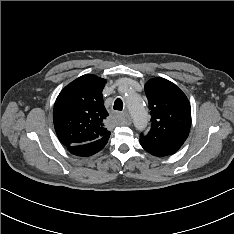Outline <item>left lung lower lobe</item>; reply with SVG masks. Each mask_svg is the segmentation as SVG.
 I'll use <instances>...</instances> for the list:
<instances>
[{
	"label": "left lung lower lobe",
	"mask_w": 234,
	"mask_h": 234,
	"mask_svg": "<svg viewBox=\"0 0 234 234\" xmlns=\"http://www.w3.org/2000/svg\"><path fill=\"white\" fill-rule=\"evenodd\" d=\"M141 146L150 154L158 157L168 156L178 151L181 145L162 138H148L140 136Z\"/></svg>",
	"instance_id": "left-lung-lower-lobe-1"
}]
</instances>
